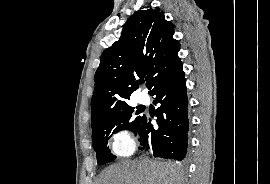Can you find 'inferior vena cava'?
<instances>
[{
    "label": "inferior vena cava",
    "mask_w": 270,
    "mask_h": 184,
    "mask_svg": "<svg viewBox=\"0 0 270 184\" xmlns=\"http://www.w3.org/2000/svg\"><path fill=\"white\" fill-rule=\"evenodd\" d=\"M149 162V160L145 159L143 160V163L147 164Z\"/></svg>",
    "instance_id": "1"
}]
</instances>
